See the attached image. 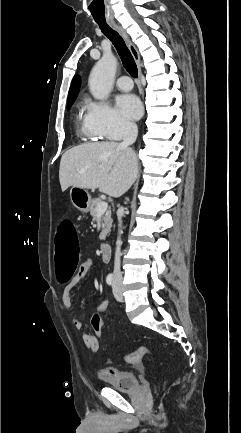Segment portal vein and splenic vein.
<instances>
[{"label": "portal vein and splenic vein", "mask_w": 241, "mask_h": 433, "mask_svg": "<svg viewBox=\"0 0 241 433\" xmlns=\"http://www.w3.org/2000/svg\"><path fill=\"white\" fill-rule=\"evenodd\" d=\"M107 208H108V203L102 201L97 205L96 211H97L98 215H101V214H104L106 212Z\"/></svg>", "instance_id": "18ae733b"}]
</instances>
